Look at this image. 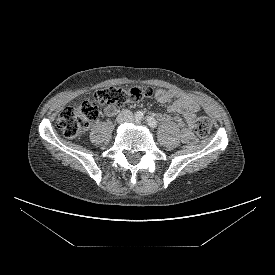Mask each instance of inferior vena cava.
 Segmentation results:
<instances>
[{
    "mask_svg": "<svg viewBox=\"0 0 275 275\" xmlns=\"http://www.w3.org/2000/svg\"><path fill=\"white\" fill-rule=\"evenodd\" d=\"M132 117H133L132 112H130L129 110H125L118 115V121L120 122L130 121Z\"/></svg>",
    "mask_w": 275,
    "mask_h": 275,
    "instance_id": "obj_1",
    "label": "inferior vena cava"
}]
</instances>
